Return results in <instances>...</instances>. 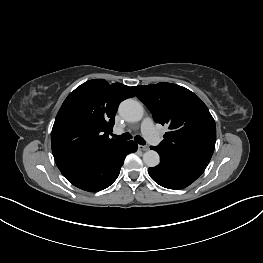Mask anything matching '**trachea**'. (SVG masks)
Segmentation results:
<instances>
[{"label":"trachea","mask_w":263,"mask_h":263,"mask_svg":"<svg viewBox=\"0 0 263 263\" xmlns=\"http://www.w3.org/2000/svg\"><path fill=\"white\" fill-rule=\"evenodd\" d=\"M112 136L116 139H119V140H130L131 139V134L130 133H124L122 135H115V134H112ZM135 141L140 144V145H145L146 144V141L139 135H137L135 137Z\"/></svg>","instance_id":"3493384b"}]
</instances>
